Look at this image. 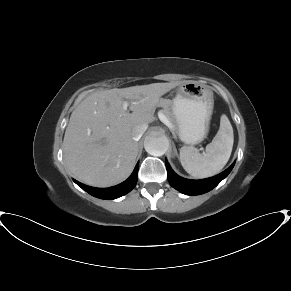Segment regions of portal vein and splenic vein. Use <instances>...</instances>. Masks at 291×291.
<instances>
[{
    "instance_id": "obj_1",
    "label": "portal vein and splenic vein",
    "mask_w": 291,
    "mask_h": 291,
    "mask_svg": "<svg viewBox=\"0 0 291 291\" xmlns=\"http://www.w3.org/2000/svg\"><path fill=\"white\" fill-rule=\"evenodd\" d=\"M127 107H128V102H124L123 103V109L127 110ZM158 117H159L160 121L163 122L166 126L172 127V124L169 122V120L165 117L164 114L159 113Z\"/></svg>"
}]
</instances>
